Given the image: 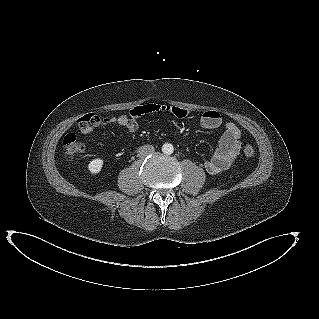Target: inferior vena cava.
<instances>
[{"label": "inferior vena cava", "instance_id": "1", "mask_svg": "<svg viewBox=\"0 0 319 319\" xmlns=\"http://www.w3.org/2000/svg\"><path fill=\"white\" fill-rule=\"evenodd\" d=\"M155 151V148L154 146L152 145H143L141 147H139L138 149V156L143 158V157H146L150 154H153Z\"/></svg>", "mask_w": 319, "mask_h": 319}]
</instances>
